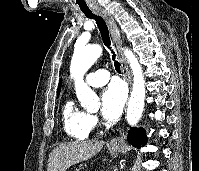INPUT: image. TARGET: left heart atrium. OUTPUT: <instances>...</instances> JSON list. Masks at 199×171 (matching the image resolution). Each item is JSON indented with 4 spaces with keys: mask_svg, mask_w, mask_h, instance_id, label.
Wrapping results in <instances>:
<instances>
[{
    "mask_svg": "<svg viewBox=\"0 0 199 171\" xmlns=\"http://www.w3.org/2000/svg\"><path fill=\"white\" fill-rule=\"evenodd\" d=\"M126 97L125 87L120 82H113L106 87L101 95L102 116L107 121H116L123 111Z\"/></svg>",
    "mask_w": 199,
    "mask_h": 171,
    "instance_id": "39dd6f15",
    "label": "left heart atrium"
}]
</instances>
